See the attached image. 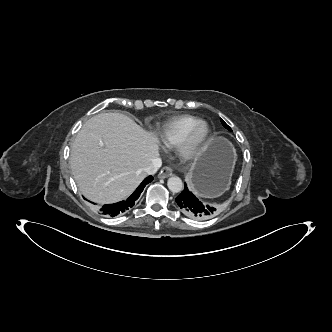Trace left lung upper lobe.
Here are the masks:
<instances>
[{"label": "left lung upper lobe", "instance_id": "5c2ea615", "mask_svg": "<svg viewBox=\"0 0 332 332\" xmlns=\"http://www.w3.org/2000/svg\"><path fill=\"white\" fill-rule=\"evenodd\" d=\"M221 123L223 124V126L226 128V129H228V130H230L231 131V128L221 119Z\"/></svg>", "mask_w": 332, "mask_h": 332}]
</instances>
